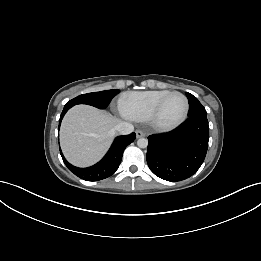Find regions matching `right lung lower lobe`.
Here are the masks:
<instances>
[{"label": "right lung lower lobe", "mask_w": 261, "mask_h": 261, "mask_svg": "<svg viewBox=\"0 0 261 261\" xmlns=\"http://www.w3.org/2000/svg\"><path fill=\"white\" fill-rule=\"evenodd\" d=\"M71 107L69 106H64V109L62 111V114L60 116L59 120V126L61 124V120L65 113L70 109ZM136 138L135 133H131L129 135H123L117 137L112 146L110 147L109 151L107 154L103 157V159L98 162L97 164L88 167V168H78L73 165H71L67 160L64 158L62 152L61 156L62 159L67 166V168L74 173L76 176H78L81 179H84L86 181H98L105 179L112 174L116 172L118 169L121 159H122V154L125 150V148L132 143Z\"/></svg>", "instance_id": "obj_1"}]
</instances>
